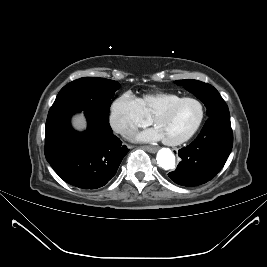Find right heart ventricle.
<instances>
[{
    "mask_svg": "<svg viewBox=\"0 0 267 267\" xmlns=\"http://www.w3.org/2000/svg\"><path fill=\"white\" fill-rule=\"evenodd\" d=\"M182 96L171 92H155L144 94L139 98L142 110L148 117L166 105L180 99Z\"/></svg>",
    "mask_w": 267,
    "mask_h": 267,
    "instance_id": "e07e8e85",
    "label": "right heart ventricle"
}]
</instances>
